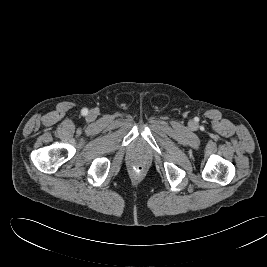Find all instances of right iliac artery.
Here are the masks:
<instances>
[{"label": "right iliac artery", "mask_w": 267, "mask_h": 267, "mask_svg": "<svg viewBox=\"0 0 267 267\" xmlns=\"http://www.w3.org/2000/svg\"><path fill=\"white\" fill-rule=\"evenodd\" d=\"M87 113H88V109H87V108H83V109L81 110V114H82L83 116L87 115Z\"/></svg>", "instance_id": "obj_1"}]
</instances>
